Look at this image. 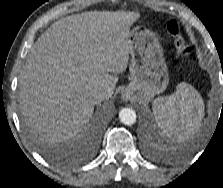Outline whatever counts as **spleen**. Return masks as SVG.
<instances>
[{
	"instance_id": "obj_1",
	"label": "spleen",
	"mask_w": 223,
	"mask_h": 188,
	"mask_svg": "<svg viewBox=\"0 0 223 188\" xmlns=\"http://www.w3.org/2000/svg\"><path fill=\"white\" fill-rule=\"evenodd\" d=\"M153 113L158 127L166 135L183 141L200 127L204 102L194 87L180 83L175 93L154 100Z\"/></svg>"
}]
</instances>
